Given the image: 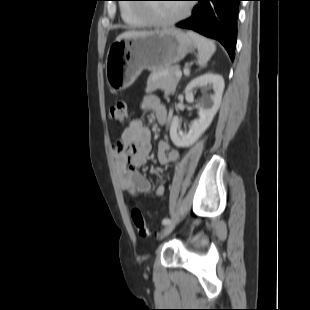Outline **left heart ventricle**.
Instances as JSON below:
<instances>
[{
  "label": "left heart ventricle",
  "mask_w": 310,
  "mask_h": 310,
  "mask_svg": "<svg viewBox=\"0 0 310 310\" xmlns=\"http://www.w3.org/2000/svg\"><path fill=\"white\" fill-rule=\"evenodd\" d=\"M151 14L160 19H171L183 11V7L175 4H157L149 8Z\"/></svg>",
  "instance_id": "b2bd125f"
}]
</instances>
